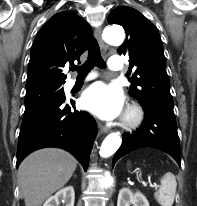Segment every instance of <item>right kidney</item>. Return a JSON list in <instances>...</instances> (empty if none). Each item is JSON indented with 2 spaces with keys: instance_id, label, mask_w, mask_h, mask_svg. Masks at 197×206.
I'll return each mask as SVG.
<instances>
[{
  "instance_id": "ca27d5eb",
  "label": "right kidney",
  "mask_w": 197,
  "mask_h": 206,
  "mask_svg": "<svg viewBox=\"0 0 197 206\" xmlns=\"http://www.w3.org/2000/svg\"><path fill=\"white\" fill-rule=\"evenodd\" d=\"M75 192L72 186L59 190L55 195L51 196L43 206H58L59 201L65 203V206H74Z\"/></svg>"
}]
</instances>
